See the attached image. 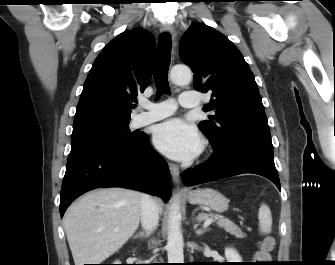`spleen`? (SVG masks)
I'll return each instance as SVG.
<instances>
[{"mask_svg": "<svg viewBox=\"0 0 335 265\" xmlns=\"http://www.w3.org/2000/svg\"><path fill=\"white\" fill-rule=\"evenodd\" d=\"M258 219L261 232L269 233L272 227V215L270 208L266 204L260 206Z\"/></svg>", "mask_w": 335, "mask_h": 265, "instance_id": "1", "label": "spleen"}]
</instances>
